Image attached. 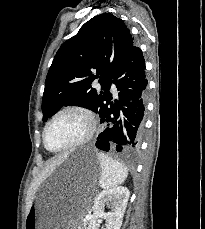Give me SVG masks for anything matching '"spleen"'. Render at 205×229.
<instances>
[{
  "mask_svg": "<svg viewBox=\"0 0 205 229\" xmlns=\"http://www.w3.org/2000/svg\"><path fill=\"white\" fill-rule=\"evenodd\" d=\"M97 157L101 166V188L109 189L125 181L128 171L121 163L102 152L98 153Z\"/></svg>",
  "mask_w": 205,
  "mask_h": 229,
  "instance_id": "3e777b00",
  "label": "spleen"
}]
</instances>
